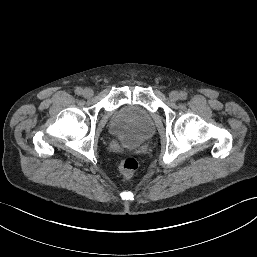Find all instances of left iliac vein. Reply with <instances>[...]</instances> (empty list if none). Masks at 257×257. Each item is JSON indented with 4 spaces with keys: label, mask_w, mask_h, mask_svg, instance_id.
<instances>
[{
    "label": "left iliac vein",
    "mask_w": 257,
    "mask_h": 257,
    "mask_svg": "<svg viewBox=\"0 0 257 257\" xmlns=\"http://www.w3.org/2000/svg\"><path fill=\"white\" fill-rule=\"evenodd\" d=\"M169 98L171 101L175 102L179 99V93L177 91H171L169 94Z\"/></svg>",
    "instance_id": "4c4485c4"
}]
</instances>
